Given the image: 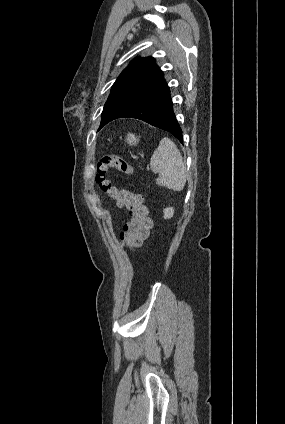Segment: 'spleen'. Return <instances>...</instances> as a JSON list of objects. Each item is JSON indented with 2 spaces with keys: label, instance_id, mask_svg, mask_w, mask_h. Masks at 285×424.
Wrapping results in <instances>:
<instances>
[{
  "label": "spleen",
  "instance_id": "spleen-1",
  "mask_svg": "<svg viewBox=\"0 0 285 424\" xmlns=\"http://www.w3.org/2000/svg\"><path fill=\"white\" fill-rule=\"evenodd\" d=\"M150 169L153 173H159L156 184L167 187L173 191H181L187 178L186 165L182 155L169 138H163L158 148L150 159Z\"/></svg>",
  "mask_w": 285,
  "mask_h": 424
}]
</instances>
